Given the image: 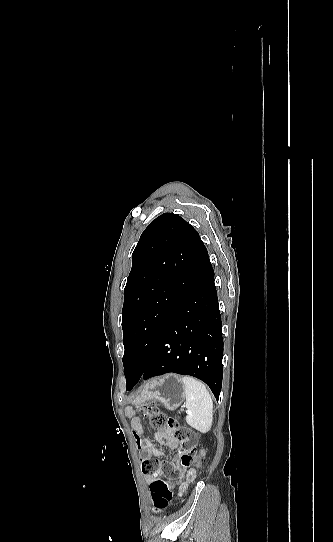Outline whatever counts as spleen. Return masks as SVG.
Wrapping results in <instances>:
<instances>
[{
    "label": "spleen",
    "instance_id": "3e777b00",
    "mask_svg": "<svg viewBox=\"0 0 333 542\" xmlns=\"http://www.w3.org/2000/svg\"><path fill=\"white\" fill-rule=\"evenodd\" d=\"M181 382L185 394V408L188 416L185 420L188 426L198 430L201 434L209 432L213 422V402L212 398L203 382L183 376Z\"/></svg>",
    "mask_w": 333,
    "mask_h": 542
}]
</instances>
